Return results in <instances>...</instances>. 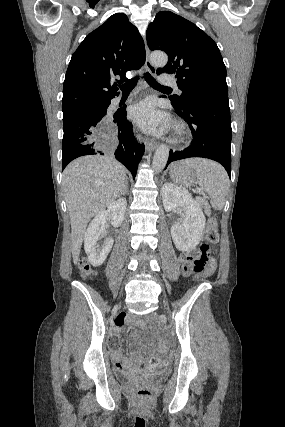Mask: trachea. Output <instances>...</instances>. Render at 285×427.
I'll return each mask as SVG.
<instances>
[{
    "instance_id": "trachea-1",
    "label": "trachea",
    "mask_w": 285,
    "mask_h": 427,
    "mask_svg": "<svg viewBox=\"0 0 285 427\" xmlns=\"http://www.w3.org/2000/svg\"><path fill=\"white\" fill-rule=\"evenodd\" d=\"M144 77H145L147 83L155 89H160V88L168 89L169 88V87H166V86L159 84L149 73H146L144 75ZM137 82H138V76L134 77L131 81L127 82L126 84L120 86V89L123 92L132 90L136 86Z\"/></svg>"
}]
</instances>
